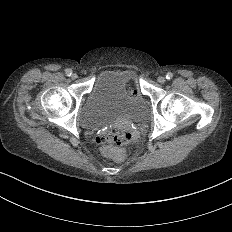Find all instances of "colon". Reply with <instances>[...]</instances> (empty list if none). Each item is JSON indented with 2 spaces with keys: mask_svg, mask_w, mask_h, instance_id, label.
Here are the masks:
<instances>
[{
  "mask_svg": "<svg viewBox=\"0 0 232 232\" xmlns=\"http://www.w3.org/2000/svg\"><path fill=\"white\" fill-rule=\"evenodd\" d=\"M139 136V128L132 121L113 122L109 129H102L96 134L100 145L121 147L130 144Z\"/></svg>",
  "mask_w": 232,
  "mask_h": 232,
  "instance_id": "5ec220e1",
  "label": "colon"
}]
</instances>
